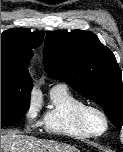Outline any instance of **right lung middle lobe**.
Returning <instances> with one entry per match:
<instances>
[{
	"mask_svg": "<svg viewBox=\"0 0 123 152\" xmlns=\"http://www.w3.org/2000/svg\"><path fill=\"white\" fill-rule=\"evenodd\" d=\"M32 86L9 75H1V126L24 118L30 106Z\"/></svg>",
	"mask_w": 123,
	"mask_h": 152,
	"instance_id": "1",
	"label": "right lung middle lobe"
}]
</instances>
